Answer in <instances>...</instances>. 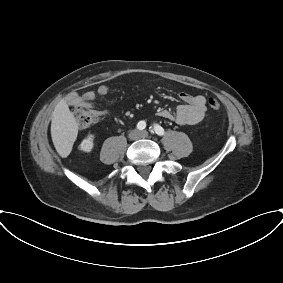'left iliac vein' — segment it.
Instances as JSON below:
<instances>
[{"label":"left iliac vein","instance_id":"left-iliac-vein-1","mask_svg":"<svg viewBox=\"0 0 283 283\" xmlns=\"http://www.w3.org/2000/svg\"><path fill=\"white\" fill-rule=\"evenodd\" d=\"M140 137H141V138H146V137H148V132L145 131V130H144V131H141V132H140Z\"/></svg>","mask_w":283,"mask_h":283}]
</instances>
